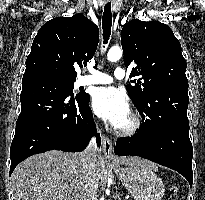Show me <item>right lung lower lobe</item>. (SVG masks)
<instances>
[{
  "mask_svg": "<svg viewBox=\"0 0 205 200\" xmlns=\"http://www.w3.org/2000/svg\"><path fill=\"white\" fill-rule=\"evenodd\" d=\"M21 113L10 148L9 175L27 157L49 150L80 152L96 135L89 94L74 96L62 82L45 76L22 79Z\"/></svg>",
  "mask_w": 205,
  "mask_h": 200,
  "instance_id": "98d812e1",
  "label": "right lung lower lobe"
}]
</instances>
